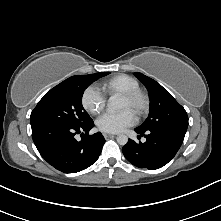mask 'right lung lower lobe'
Here are the masks:
<instances>
[{
  "instance_id": "right-lung-lower-lobe-1",
  "label": "right lung lower lobe",
  "mask_w": 221,
  "mask_h": 221,
  "mask_svg": "<svg viewBox=\"0 0 221 221\" xmlns=\"http://www.w3.org/2000/svg\"><path fill=\"white\" fill-rule=\"evenodd\" d=\"M93 126V120L80 126L40 125L32 128V138L41 156L51 166L64 173H76L97 161L105 143L100 132L88 134ZM79 133L83 136L81 141L74 137Z\"/></svg>"
}]
</instances>
